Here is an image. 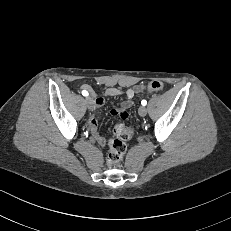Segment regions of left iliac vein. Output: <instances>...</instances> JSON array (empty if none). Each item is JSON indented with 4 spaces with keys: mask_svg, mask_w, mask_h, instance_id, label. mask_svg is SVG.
I'll return each instance as SVG.
<instances>
[{
    "mask_svg": "<svg viewBox=\"0 0 231 231\" xmlns=\"http://www.w3.org/2000/svg\"><path fill=\"white\" fill-rule=\"evenodd\" d=\"M140 116L144 117L147 114V109L144 106H141L138 110Z\"/></svg>",
    "mask_w": 231,
    "mask_h": 231,
    "instance_id": "obj_1",
    "label": "left iliac vein"
}]
</instances>
